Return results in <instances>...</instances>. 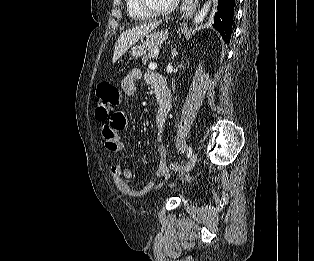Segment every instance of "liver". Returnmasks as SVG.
I'll use <instances>...</instances> for the list:
<instances>
[{"label": "liver", "mask_w": 314, "mask_h": 261, "mask_svg": "<svg viewBox=\"0 0 314 261\" xmlns=\"http://www.w3.org/2000/svg\"><path fill=\"white\" fill-rule=\"evenodd\" d=\"M158 25L159 22H153L124 31L116 42L112 62L115 63L133 44L154 30Z\"/></svg>", "instance_id": "liver-1"}]
</instances>
